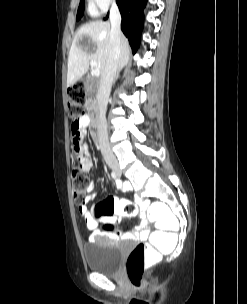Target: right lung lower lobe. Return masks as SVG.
<instances>
[{
  "mask_svg": "<svg viewBox=\"0 0 247 304\" xmlns=\"http://www.w3.org/2000/svg\"><path fill=\"white\" fill-rule=\"evenodd\" d=\"M116 2L122 16L121 29L128 38L133 53H135L140 45L144 23L143 10L147 0H116Z\"/></svg>",
  "mask_w": 247,
  "mask_h": 304,
  "instance_id": "98d812e1",
  "label": "right lung lower lobe"
}]
</instances>
